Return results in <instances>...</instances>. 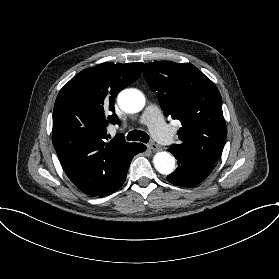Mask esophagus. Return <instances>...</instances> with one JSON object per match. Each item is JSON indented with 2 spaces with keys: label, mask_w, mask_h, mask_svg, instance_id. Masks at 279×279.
Returning <instances> with one entry per match:
<instances>
[{
  "label": "esophagus",
  "mask_w": 279,
  "mask_h": 279,
  "mask_svg": "<svg viewBox=\"0 0 279 279\" xmlns=\"http://www.w3.org/2000/svg\"><path fill=\"white\" fill-rule=\"evenodd\" d=\"M148 147H149L152 151H155V152H157V151L160 150L159 146H158L157 144H155V143H150V144H148Z\"/></svg>",
  "instance_id": "esophagus-1"
}]
</instances>
